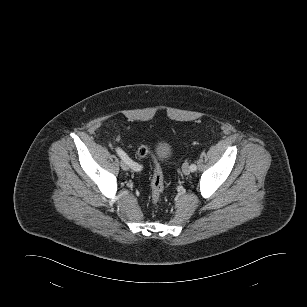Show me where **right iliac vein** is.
Here are the masks:
<instances>
[{"instance_id":"63e3f726","label":"right iliac vein","mask_w":307,"mask_h":307,"mask_svg":"<svg viewBox=\"0 0 307 307\" xmlns=\"http://www.w3.org/2000/svg\"><path fill=\"white\" fill-rule=\"evenodd\" d=\"M120 166L125 171L129 170V165L126 162H124V161L120 162Z\"/></svg>"}]
</instances>
